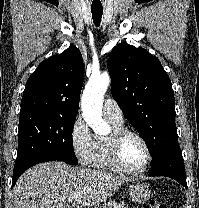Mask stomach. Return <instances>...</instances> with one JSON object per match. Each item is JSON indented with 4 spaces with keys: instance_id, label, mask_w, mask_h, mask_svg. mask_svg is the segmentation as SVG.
I'll return each mask as SVG.
<instances>
[{
    "instance_id": "1",
    "label": "stomach",
    "mask_w": 199,
    "mask_h": 208,
    "mask_svg": "<svg viewBox=\"0 0 199 208\" xmlns=\"http://www.w3.org/2000/svg\"><path fill=\"white\" fill-rule=\"evenodd\" d=\"M129 195L133 202L144 203L150 199L152 192L147 184L136 182L129 186Z\"/></svg>"
}]
</instances>
